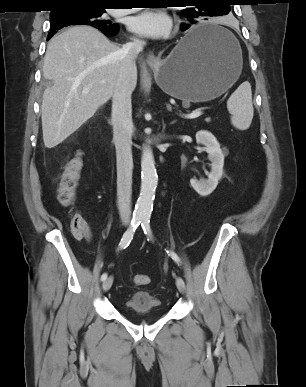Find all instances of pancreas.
Returning <instances> with one entry per match:
<instances>
[{"label": "pancreas", "mask_w": 306, "mask_h": 387, "mask_svg": "<svg viewBox=\"0 0 306 387\" xmlns=\"http://www.w3.org/2000/svg\"><path fill=\"white\" fill-rule=\"evenodd\" d=\"M210 120L209 119H206V122H209Z\"/></svg>", "instance_id": "1"}]
</instances>
